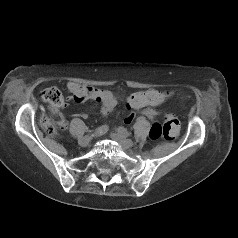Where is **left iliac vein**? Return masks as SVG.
<instances>
[{
  "instance_id": "4c4485c4",
  "label": "left iliac vein",
  "mask_w": 238,
  "mask_h": 238,
  "mask_svg": "<svg viewBox=\"0 0 238 238\" xmlns=\"http://www.w3.org/2000/svg\"><path fill=\"white\" fill-rule=\"evenodd\" d=\"M111 138L118 142L123 149H129L134 145L132 140L125 138L120 133H111Z\"/></svg>"
}]
</instances>
